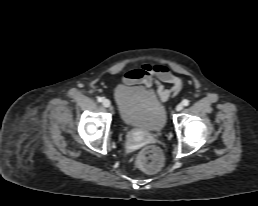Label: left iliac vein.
<instances>
[{"label":"left iliac vein","instance_id":"1","mask_svg":"<svg viewBox=\"0 0 258 206\" xmlns=\"http://www.w3.org/2000/svg\"><path fill=\"white\" fill-rule=\"evenodd\" d=\"M183 109V104H178L176 106V111H181Z\"/></svg>","mask_w":258,"mask_h":206}]
</instances>
